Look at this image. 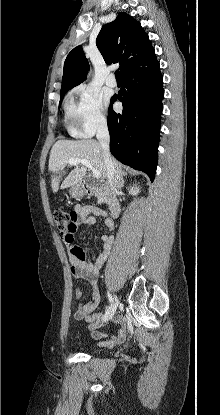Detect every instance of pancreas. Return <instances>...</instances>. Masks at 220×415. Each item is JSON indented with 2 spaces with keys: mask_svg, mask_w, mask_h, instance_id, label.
Instances as JSON below:
<instances>
[{
  "mask_svg": "<svg viewBox=\"0 0 220 415\" xmlns=\"http://www.w3.org/2000/svg\"><path fill=\"white\" fill-rule=\"evenodd\" d=\"M95 196L97 197L99 204H101V203H103V202L106 201V193L105 192H102L101 190H97L95 192Z\"/></svg>",
  "mask_w": 220,
  "mask_h": 415,
  "instance_id": "cf45deb5",
  "label": "pancreas"
}]
</instances>
